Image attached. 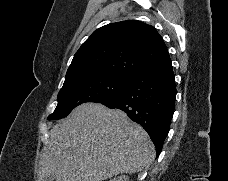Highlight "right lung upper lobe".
<instances>
[{
  "instance_id": "1",
  "label": "right lung upper lobe",
  "mask_w": 228,
  "mask_h": 181,
  "mask_svg": "<svg viewBox=\"0 0 228 181\" xmlns=\"http://www.w3.org/2000/svg\"><path fill=\"white\" fill-rule=\"evenodd\" d=\"M169 57L156 29L140 21L111 23L95 30L74 55L65 82L111 74L133 77Z\"/></svg>"
}]
</instances>
